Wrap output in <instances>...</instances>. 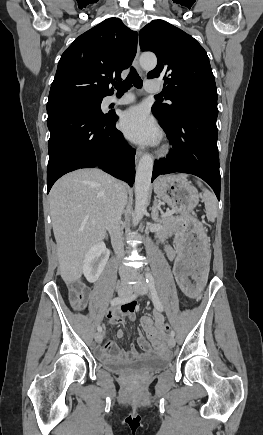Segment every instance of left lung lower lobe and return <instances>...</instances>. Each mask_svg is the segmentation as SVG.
Masks as SVG:
<instances>
[{
	"label": "left lung lower lobe",
	"instance_id": "left-lung-lower-lobe-1",
	"mask_svg": "<svg viewBox=\"0 0 263 435\" xmlns=\"http://www.w3.org/2000/svg\"><path fill=\"white\" fill-rule=\"evenodd\" d=\"M159 121L172 142L173 149L167 158L155 161L152 181L157 176L168 173L193 174L207 182L220 200L216 118L182 115L172 124Z\"/></svg>",
	"mask_w": 263,
	"mask_h": 435
}]
</instances>
